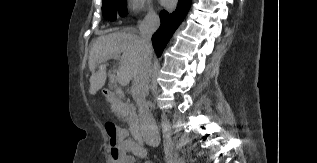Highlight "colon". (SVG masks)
<instances>
[{"mask_svg":"<svg viewBox=\"0 0 317 163\" xmlns=\"http://www.w3.org/2000/svg\"><path fill=\"white\" fill-rule=\"evenodd\" d=\"M105 128L112 147L111 154L114 159H118L122 154L121 151L117 149V143L119 142L118 130L113 124H107Z\"/></svg>","mask_w":317,"mask_h":163,"instance_id":"colon-1","label":"colon"}]
</instances>
